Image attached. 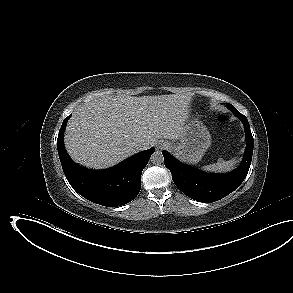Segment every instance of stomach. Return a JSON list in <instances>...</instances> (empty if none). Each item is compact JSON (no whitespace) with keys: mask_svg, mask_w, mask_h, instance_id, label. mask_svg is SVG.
Wrapping results in <instances>:
<instances>
[{"mask_svg":"<svg viewBox=\"0 0 293 293\" xmlns=\"http://www.w3.org/2000/svg\"><path fill=\"white\" fill-rule=\"evenodd\" d=\"M211 145V136L207 128L197 118L185 125L180 142L175 144V155L184 162L198 163Z\"/></svg>","mask_w":293,"mask_h":293,"instance_id":"stomach-1","label":"stomach"}]
</instances>
